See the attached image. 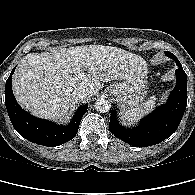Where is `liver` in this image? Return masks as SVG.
Wrapping results in <instances>:
<instances>
[{
  "mask_svg": "<svg viewBox=\"0 0 195 195\" xmlns=\"http://www.w3.org/2000/svg\"><path fill=\"white\" fill-rule=\"evenodd\" d=\"M146 66L140 56L112 46L55 48L26 55L13 75L12 86L23 108L37 117L58 119L77 103L76 88L86 87L89 98L105 82L130 79Z\"/></svg>",
  "mask_w": 195,
  "mask_h": 195,
  "instance_id": "liver-1",
  "label": "liver"
}]
</instances>
